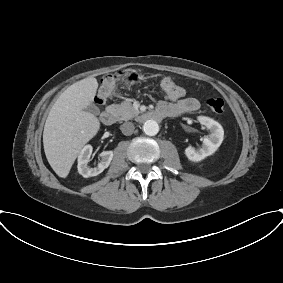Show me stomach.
<instances>
[{
    "label": "stomach",
    "instance_id": "stomach-1",
    "mask_svg": "<svg viewBox=\"0 0 283 283\" xmlns=\"http://www.w3.org/2000/svg\"><path fill=\"white\" fill-rule=\"evenodd\" d=\"M142 79H143V76L140 73L134 71V72H130L127 74L125 81L128 84H134Z\"/></svg>",
    "mask_w": 283,
    "mask_h": 283
}]
</instances>
